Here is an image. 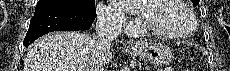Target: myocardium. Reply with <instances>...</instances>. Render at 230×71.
I'll use <instances>...</instances> for the list:
<instances>
[{
	"label": "myocardium",
	"instance_id": "f54148a6",
	"mask_svg": "<svg viewBox=\"0 0 230 71\" xmlns=\"http://www.w3.org/2000/svg\"><path fill=\"white\" fill-rule=\"evenodd\" d=\"M150 1H154V0H146V2H150ZM173 1H175L178 6L182 7L188 13L191 19L192 25L187 32L182 34H175V33H170L154 28L152 25H150V23L145 18L144 4H140L138 6L139 18H140V24L138 26L139 30L143 33H147L155 38L163 39V40H182V39H187L191 35H193L197 29V19L194 12L184 1L182 0H173Z\"/></svg>",
	"mask_w": 230,
	"mask_h": 71
}]
</instances>
